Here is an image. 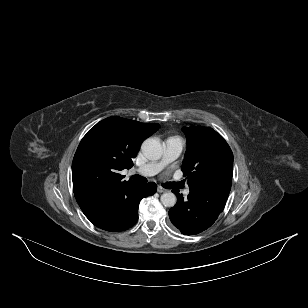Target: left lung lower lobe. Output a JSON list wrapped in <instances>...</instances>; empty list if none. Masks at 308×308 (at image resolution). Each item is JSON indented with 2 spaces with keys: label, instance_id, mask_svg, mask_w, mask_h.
<instances>
[{
  "label": "left lung lower lobe",
  "instance_id": "obj_1",
  "mask_svg": "<svg viewBox=\"0 0 308 308\" xmlns=\"http://www.w3.org/2000/svg\"><path fill=\"white\" fill-rule=\"evenodd\" d=\"M231 183V178H222L190 188L187 199L174 190L178 200L169 210L172 224L186 235L198 234L209 228L225 207Z\"/></svg>",
  "mask_w": 308,
  "mask_h": 308
}]
</instances>
